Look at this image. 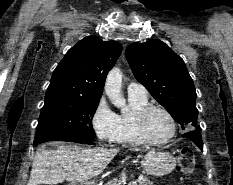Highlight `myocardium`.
<instances>
[{
  "mask_svg": "<svg viewBox=\"0 0 233 185\" xmlns=\"http://www.w3.org/2000/svg\"><path fill=\"white\" fill-rule=\"evenodd\" d=\"M153 110L162 111L164 114H166V116L169 118V120L171 122V133L166 138H164L162 140L152 139L147 132L146 119H147L149 113ZM135 126H136V130H137L139 137L145 143L150 144V145H162V144L168 143L169 141H171L175 137L176 131H177L176 120H175L174 116L172 115V113L167 108H165L161 105H156V104H147L146 106L142 107L136 113Z\"/></svg>",
  "mask_w": 233,
  "mask_h": 185,
  "instance_id": "1",
  "label": "myocardium"
}]
</instances>
